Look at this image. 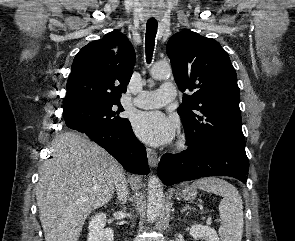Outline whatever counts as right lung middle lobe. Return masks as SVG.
I'll list each match as a JSON object with an SVG mask.
<instances>
[{"label":"right lung middle lobe","mask_w":295,"mask_h":241,"mask_svg":"<svg viewBox=\"0 0 295 241\" xmlns=\"http://www.w3.org/2000/svg\"><path fill=\"white\" fill-rule=\"evenodd\" d=\"M123 111L120 102L96 103L63 111V117L69 128L83 124H100L115 129H124L130 122L119 115Z\"/></svg>","instance_id":"1"}]
</instances>
